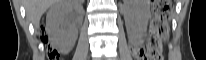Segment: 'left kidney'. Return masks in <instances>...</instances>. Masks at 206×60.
Returning a JSON list of instances; mask_svg holds the SVG:
<instances>
[{
	"label": "left kidney",
	"instance_id": "left-kidney-1",
	"mask_svg": "<svg viewBox=\"0 0 206 60\" xmlns=\"http://www.w3.org/2000/svg\"><path fill=\"white\" fill-rule=\"evenodd\" d=\"M149 1L128 0L125 12V23L130 39L140 42L148 24Z\"/></svg>",
	"mask_w": 206,
	"mask_h": 60
}]
</instances>
